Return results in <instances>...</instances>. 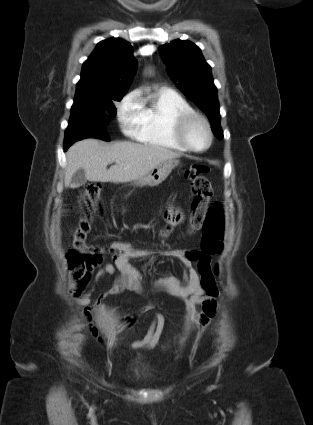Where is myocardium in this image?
<instances>
[{
	"label": "myocardium",
	"mask_w": 313,
	"mask_h": 425,
	"mask_svg": "<svg viewBox=\"0 0 313 425\" xmlns=\"http://www.w3.org/2000/svg\"><path fill=\"white\" fill-rule=\"evenodd\" d=\"M201 122L207 132L208 135V143L204 148L198 149L195 148L194 146H192L190 144V142L187 139V131L189 129V127L194 123V122ZM174 135L177 139V141L187 150L192 151V152H204L206 150H208L213 142V132H212V128L211 125L209 123V121L207 120L206 117H204L202 114L195 112V111H191V112H185L182 114H179L176 117L175 120V124H174Z\"/></svg>",
	"instance_id": "obj_1"
}]
</instances>
